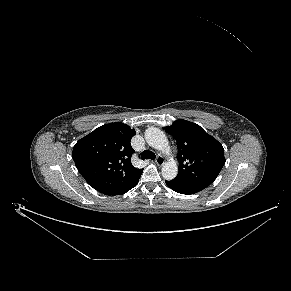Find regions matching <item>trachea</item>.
<instances>
[{
	"label": "trachea",
	"mask_w": 291,
	"mask_h": 291,
	"mask_svg": "<svg viewBox=\"0 0 291 291\" xmlns=\"http://www.w3.org/2000/svg\"><path fill=\"white\" fill-rule=\"evenodd\" d=\"M155 158H156V155L150 150H144L141 154L142 160H145V159L154 160Z\"/></svg>",
	"instance_id": "1"
}]
</instances>
